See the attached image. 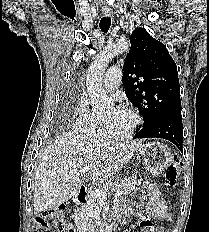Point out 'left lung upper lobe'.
Here are the masks:
<instances>
[{
	"label": "left lung upper lobe",
	"instance_id": "left-lung-upper-lobe-1",
	"mask_svg": "<svg viewBox=\"0 0 209 232\" xmlns=\"http://www.w3.org/2000/svg\"><path fill=\"white\" fill-rule=\"evenodd\" d=\"M124 62L123 85L147 129L162 117L181 111L177 66L166 46L144 28H135Z\"/></svg>",
	"mask_w": 209,
	"mask_h": 232
}]
</instances>
